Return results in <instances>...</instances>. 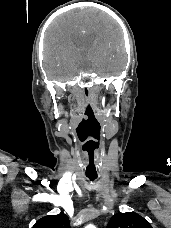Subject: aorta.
<instances>
[{"label": "aorta", "instance_id": "762f6f07", "mask_svg": "<svg viewBox=\"0 0 171 228\" xmlns=\"http://www.w3.org/2000/svg\"><path fill=\"white\" fill-rule=\"evenodd\" d=\"M85 228H95V226H93V225H88V226H86Z\"/></svg>", "mask_w": 171, "mask_h": 228}]
</instances>
